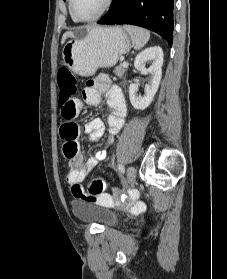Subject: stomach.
I'll return each mask as SVG.
<instances>
[{
  "mask_svg": "<svg viewBox=\"0 0 227 279\" xmlns=\"http://www.w3.org/2000/svg\"><path fill=\"white\" fill-rule=\"evenodd\" d=\"M130 49V37L121 27L96 26L73 33L62 49V58L74 73L92 76L98 68L114 66Z\"/></svg>",
  "mask_w": 227,
  "mask_h": 279,
  "instance_id": "1",
  "label": "stomach"
}]
</instances>
